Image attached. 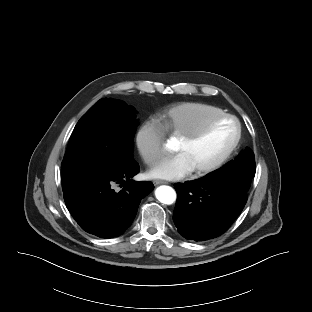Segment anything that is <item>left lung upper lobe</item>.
Here are the masks:
<instances>
[{
  "label": "left lung upper lobe",
  "instance_id": "left-lung-upper-lobe-1",
  "mask_svg": "<svg viewBox=\"0 0 312 312\" xmlns=\"http://www.w3.org/2000/svg\"><path fill=\"white\" fill-rule=\"evenodd\" d=\"M255 171L254 153L247 147L234 161L228 162L209 176L228 178L247 193Z\"/></svg>",
  "mask_w": 312,
  "mask_h": 312
}]
</instances>
